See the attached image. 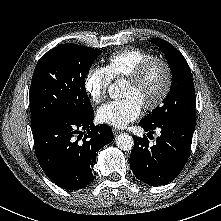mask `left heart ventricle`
Masks as SVG:
<instances>
[{
    "label": "left heart ventricle",
    "mask_w": 221,
    "mask_h": 221,
    "mask_svg": "<svg viewBox=\"0 0 221 221\" xmlns=\"http://www.w3.org/2000/svg\"><path fill=\"white\" fill-rule=\"evenodd\" d=\"M166 81V73L162 65H154L144 80L138 85L128 82L122 89L121 96H132L143 106L152 103L161 93Z\"/></svg>",
    "instance_id": "b2bd125f"
}]
</instances>
